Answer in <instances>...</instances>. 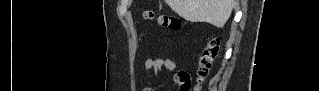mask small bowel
<instances>
[{
    "label": "small bowel",
    "instance_id": "1",
    "mask_svg": "<svg viewBox=\"0 0 319 91\" xmlns=\"http://www.w3.org/2000/svg\"><path fill=\"white\" fill-rule=\"evenodd\" d=\"M177 64L174 59L171 58H156V59H147L145 61V68L147 70H154V69H168V70H174L176 68ZM180 74L175 75V80L178 82Z\"/></svg>",
    "mask_w": 319,
    "mask_h": 91
}]
</instances>
